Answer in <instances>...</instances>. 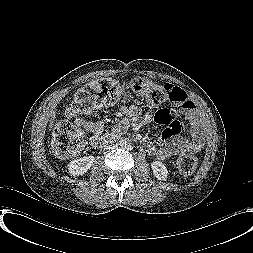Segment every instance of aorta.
Here are the masks:
<instances>
[{"label":"aorta","instance_id":"1","mask_svg":"<svg viewBox=\"0 0 253 253\" xmlns=\"http://www.w3.org/2000/svg\"><path fill=\"white\" fill-rule=\"evenodd\" d=\"M119 146H120V148H121L122 150H124V151L127 150L128 147H129L126 140H121Z\"/></svg>","mask_w":253,"mask_h":253}]
</instances>
